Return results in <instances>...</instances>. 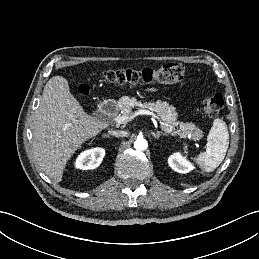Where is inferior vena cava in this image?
Returning a JSON list of instances; mask_svg holds the SVG:
<instances>
[{
    "label": "inferior vena cava",
    "instance_id": "1",
    "mask_svg": "<svg viewBox=\"0 0 259 259\" xmlns=\"http://www.w3.org/2000/svg\"><path fill=\"white\" fill-rule=\"evenodd\" d=\"M109 134L118 138H122V137H125L127 133L122 130H110Z\"/></svg>",
    "mask_w": 259,
    "mask_h": 259
}]
</instances>
